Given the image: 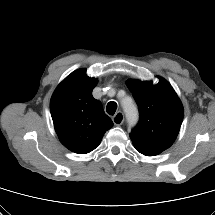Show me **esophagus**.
<instances>
[{
	"label": "esophagus",
	"instance_id": "34e87169",
	"mask_svg": "<svg viewBox=\"0 0 215 215\" xmlns=\"http://www.w3.org/2000/svg\"><path fill=\"white\" fill-rule=\"evenodd\" d=\"M112 121L115 125L119 126L124 122V114L121 111H118L112 118Z\"/></svg>",
	"mask_w": 215,
	"mask_h": 215
}]
</instances>
